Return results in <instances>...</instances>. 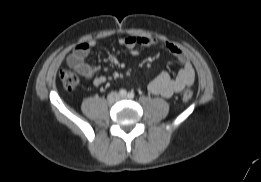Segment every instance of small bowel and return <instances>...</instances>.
<instances>
[{"label": "small bowel", "mask_w": 261, "mask_h": 182, "mask_svg": "<svg viewBox=\"0 0 261 182\" xmlns=\"http://www.w3.org/2000/svg\"><path fill=\"white\" fill-rule=\"evenodd\" d=\"M97 44L96 40L83 41L79 43L73 52L67 57V64L84 79L91 81L94 86L103 85L107 78L98 75V67L87 62L90 51ZM118 44L125 46L133 56L139 54L138 48H149L162 46L166 48L182 65L181 70L175 77L167 72H161L148 84V91L154 95L171 97L182 91L185 87L192 85L195 79V71L189 56L179 46L171 42L160 41L148 37L128 36L120 38Z\"/></svg>", "instance_id": "small-bowel-1"}]
</instances>
